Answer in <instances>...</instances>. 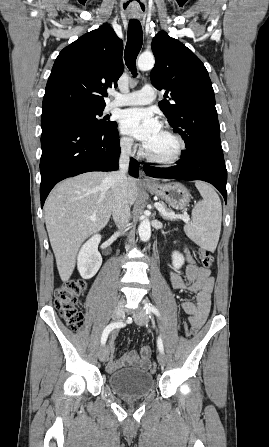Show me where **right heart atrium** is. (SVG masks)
Returning a JSON list of instances; mask_svg holds the SVG:
<instances>
[{"mask_svg": "<svg viewBox=\"0 0 269 447\" xmlns=\"http://www.w3.org/2000/svg\"><path fill=\"white\" fill-rule=\"evenodd\" d=\"M120 146L126 152H132L133 150H135V145L132 139L127 136H122L120 138Z\"/></svg>", "mask_w": 269, "mask_h": 447, "instance_id": "obj_1", "label": "right heart atrium"}]
</instances>
